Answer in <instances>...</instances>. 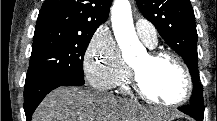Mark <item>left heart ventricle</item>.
Masks as SVG:
<instances>
[{
    "mask_svg": "<svg viewBox=\"0 0 217 121\" xmlns=\"http://www.w3.org/2000/svg\"><path fill=\"white\" fill-rule=\"evenodd\" d=\"M142 79L147 92L162 102H173L184 90L185 82L178 66L169 58L151 61L145 54L131 63Z\"/></svg>",
    "mask_w": 217,
    "mask_h": 121,
    "instance_id": "left-heart-ventricle-1",
    "label": "left heart ventricle"
}]
</instances>
